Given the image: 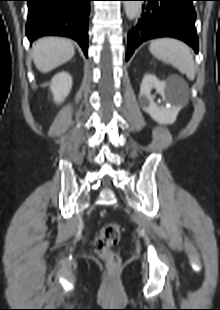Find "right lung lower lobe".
Wrapping results in <instances>:
<instances>
[{
  "instance_id": "1",
  "label": "right lung lower lobe",
  "mask_w": 220,
  "mask_h": 310,
  "mask_svg": "<svg viewBox=\"0 0 220 310\" xmlns=\"http://www.w3.org/2000/svg\"><path fill=\"white\" fill-rule=\"evenodd\" d=\"M26 34L30 42L57 35L74 39L85 56L88 50V16L92 0H26Z\"/></svg>"
}]
</instances>
